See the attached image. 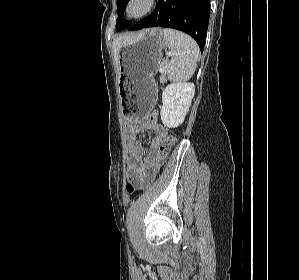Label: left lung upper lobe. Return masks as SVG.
I'll use <instances>...</instances> for the list:
<instances>
[{
	"label": "left lung upper lobe",
	"instance_id": "obj_1",
	"mask_svg": "<svg viewBox=\"0 0 299 280\" xmlns=\"http://www.w3.org/2000/svg\"><path fill=\"white\" fill-rule=\"evenodd\" d=\"M129 0H118L117 1V11H118V16H122L123 12L126 8V5L128 3ZM131 21H127L125 19H117L116 21V31H120L122 29L127 28L128 26H130Z\"/></svg>",
	"mask_w": 299,
	"mask_h": 280
}]
</instances>
